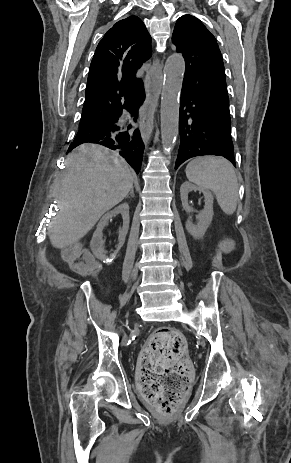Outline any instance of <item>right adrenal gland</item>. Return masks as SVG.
<instances>
[{
	"label": "right adrenal gland",
	"mask_w": 291,
	"mask_h": 463,
	"mask_svg": "<svg viewBox=\"0 0 291 463\" xmlns=\"http://www.w3.org/2000/svg\"><path fill=\"white\" fill-rule=\"evenodd\" d=\"M129 195H131V197H134V189H133V187L131 188L130 193L126 196V198H128Z\"/></svg>",
	"instance_id": "2a0ac1e0"
}]
</instances>
